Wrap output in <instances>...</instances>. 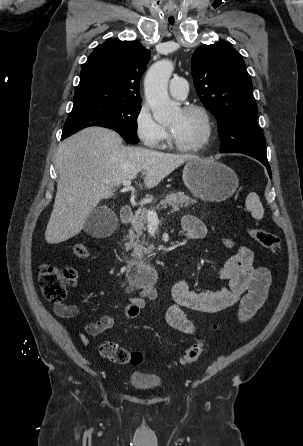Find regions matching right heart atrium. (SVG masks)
I'll return each instance as SVG.
<instances>
[{
	"label": "right heart atrium",
	"instance_id": "d8ad5b80",
	"mask_svg": "<svg viewBox=\"0 0 303 446\" xmlns=\"http://www.w3.org/2000/svg\"><path fill=\"white\" fill-rule=\"evenodd\" d=\"M134 126L137 137L148 148H160L167 139L165 127L156 121L147 104L139 107Z\"/></svg>",
	"mask_w": 303,
	"mask_h": 446
}]
</instances>
